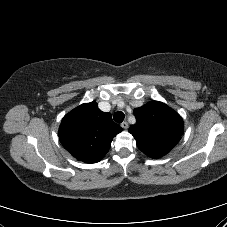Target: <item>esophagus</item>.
Listing matches in <instances>:
<instances>
[{
	"instance_id": "obj_1",
	"label": "esophagus",
	"mask_w": 227,
	"mask_h": 227,
	"mask_svg": "<svg viewBox=\"0 0 227 227\" xmlns=\"http://www.w3.org/2000/svg\"><path fill=\"white\" fill-rule=\"evenodd\" d=\"M121 127H122L123 129H127V128H128V122H126V121L122 122V123H121Z\"/></svg>"
}]
</instances>
